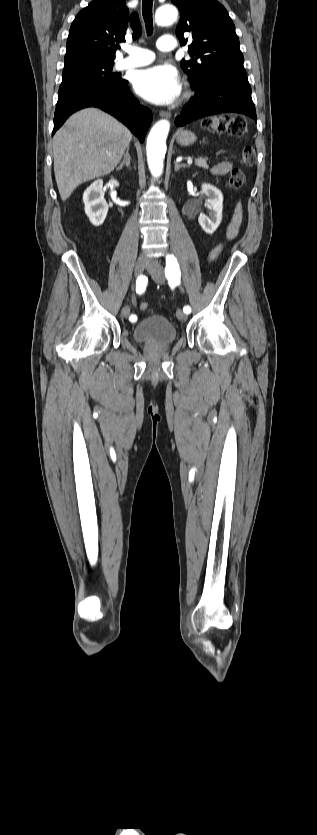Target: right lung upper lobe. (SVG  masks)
Here are the masks:
<instances>
[{
    "label": "right lung upper lobe",
    "instance_id": "1",
    "mask_svg": "<svg viewBox=\"0 0 317 835\" xmlns=\"http://www.w3.org/2000/svg\"><path fill=\"white\" fill-rule=\"evenodd\" d=\"M126 0H93L75 17L66 44L65 61L97 58L113 62L119 48L115 43L125 40L129 21ZM133 38L141 34L138 15L131 14Z\"/></svg>",
    "mask_w": 317,
    "mask_h": 835
}]
</instances>
